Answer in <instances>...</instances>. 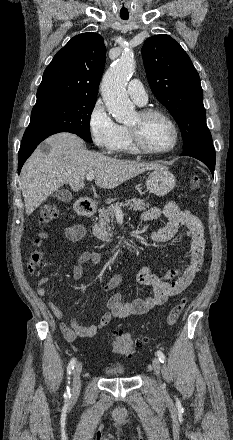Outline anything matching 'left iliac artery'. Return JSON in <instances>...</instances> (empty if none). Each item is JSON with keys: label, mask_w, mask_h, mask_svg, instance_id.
I'll list each match as a JSON object with an SVG mask.
<instances>
[{"label": "left iliac artery", "mask_w": 233, "mask_h": 440, "mask_svg": "<svg viewBox=\"0 0 233 440\" xmlns=\"http://www.w3.org/2000/svg\"><path fill=\"white\" fill-rule=\"evenodd\" d=\"M156 355L158 357V359L160 360L161 363H165L166 362V357L164 355V353L162 351H157Z\"/></svg>", "instance_id": "obj_1"}]
</instances>
